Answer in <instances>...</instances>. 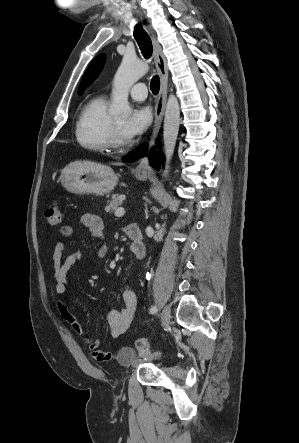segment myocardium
<instances>
[{
  "instance_id": "myocardium-1",
  "label": "myocardium",
  "mask_w": 299,
  "mask_h": 443,
  "mask_svg": "<svg viewBox=\"0 0 299 443\" xmlns=\"http://www.w3.org/2000/svg\"><path fill=\"white\" fill-rule=\"evenodd\" d=\"M109 148L113 151L122 152L131 146V141L124 138L121 130L116 125L114 120L111 122V131L108 140Z\"/></svg>"
}]
</instances>
